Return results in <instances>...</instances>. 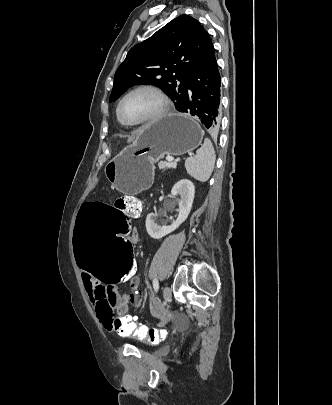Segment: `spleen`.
<instances>
[{"instance_id":"3e777b00","label":"spleen","mask_w":332,"mask_h":405,"mask_svg":"<svg viewBox=\"0 0 332 405\" xmlns=\"http://www.w3.org/2000/svg\"><path fill=\"white\" fill-rule=\"evenodd\" d=\"M216 156L210 139L206 138L201 148L197 150L196 156L189 157L185 160L187 173L200 182L209 180Z\"/></svg>"}]
</instances>
